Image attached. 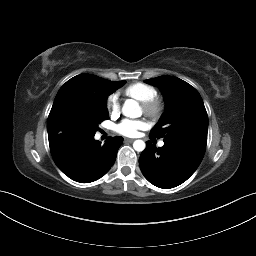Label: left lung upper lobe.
<instances>
[{
    "label": "left lung upper lobe",
    "mask_w": 256,
    "mask_h": 256,
    "mask_svg": "<svg viewBox=\"0 0 256 256\" xmlns=\"http://www.w3.org/2000/svg\"><path fill=\"white\" fill-rule=\"evenodd\" d=\"M145 82L160 88L166 104V110L152 128L150 138L164 137L166 144L178 145L204 155L208 116L198 91L173 76H160Z\"/></svg>",
    "instance_id": "left-lung-upper-lobe-1"
}]
</instances>
